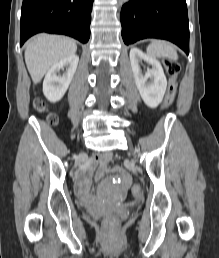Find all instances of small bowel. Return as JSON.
I'll use <instances>...</instances> for the list:
<instances>
[{"label":"small bowel","instance_id":"1","mask_svg":"<svg viewBox=\"0 0 219 258\" xmlns=\"http://www.w3.org/2000/svg\"><path fill=\"white\" fill-rule=\"evenodd\" d=\"M111 158L109 153H105L101 156H97L93 159L92 164L95 166H98L97 171V178L103 179L106 173V164L108 160ZM115 172H119V175L122 176L121 183L122 184H130L131 180L129 179L128 172L125 171L124 167H115ZM90 180H91V173L90 171H87L83 176L81 177L80 181L78 182V191L82 198L84 199H90L91 195L89 193V186H90Z\"/></svg>","mask_w":219,"mask_h":258}]
</instances>
